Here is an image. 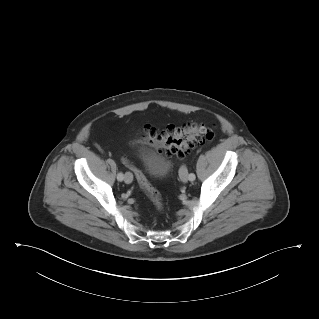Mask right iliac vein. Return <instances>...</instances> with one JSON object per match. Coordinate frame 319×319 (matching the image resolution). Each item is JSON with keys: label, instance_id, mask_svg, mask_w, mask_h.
Returning a JSON list of instances; mask_svg holds the SVG:
<instances>
[{"label": "right iliac vein", "instance_id": "obj_1", "mask_svg": "<svg viewBox=\"0 0 319 319\" xmlns=\"http://www.w3.org/2000/svg\"><path fill=\"white\" fill-rule=\"evenodd\" d=\"M124 181L130 184L133 181V175L130 172H126L124 176Z\"/></svg>", "mask_w": 319, "mask_h": 319}]
</instances>
